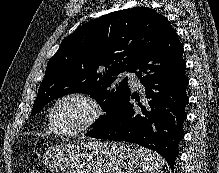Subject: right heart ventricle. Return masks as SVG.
Here are the masks:
<instances>
[{"mask_svg":"<svg viewBox=\"0 0 219 173\" xmlns=\"http://www.w3.org/2000/svg\"><path fill=\"white\" fill-rule=\"evenodd\" d=\"M48 131H49V133H53V132L51 131L50 127H49Z\"/></svg>","mask_w":219,"mask_h":173,"instance_id":"1","label":"right heart ventricle"}]
</instances>
